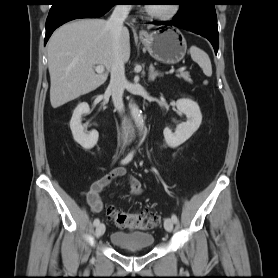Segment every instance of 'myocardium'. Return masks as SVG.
Listing matches in <instances>:
<instances>
[{"mask_svg":"<svg viewBox=\"0 0 278 278\" xmlns=\"http://www.w3.org/2000/svg\"><path fill=\"white\" fill-rule=\"evenodd\" d=\"M179 10L180 5L178 3L171 4L170 9L166 12H156L152 10L149 6L145 8V12L149 17L163 21L173 19L179 13Z\"/></svg>","mask_w":278,"mask_h":278,"instance_id":"f54148a6","label":"myocardium"}]
</instances>
